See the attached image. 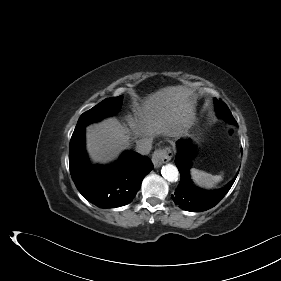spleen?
Wrapping results in <instances>:
<instances>
[{
    "label": "spleen",
    "mask_w": 281,
    "mask_h": 281,
    "mask_svg": "<svg viewBox=\"0 0 281 281\" xmlns=\"http://www.w3.org/2000/svg\"><path fill=\"white\" fill-rule=\"evenodd\" d=\"M190 175L194 183L201 187L210 189L213 188L216 184H218L223 179V173L219 175H212L210 173L192 168L190 170Z\"/></svg>",
    "instance_id": "spleen-1"
}]
</instances>
